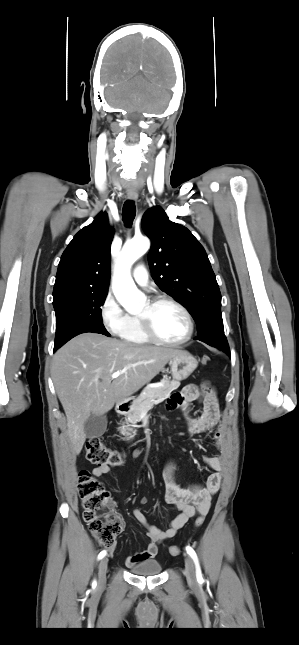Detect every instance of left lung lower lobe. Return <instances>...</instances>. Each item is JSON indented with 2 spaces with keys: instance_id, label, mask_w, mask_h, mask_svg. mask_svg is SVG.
<instances>
[{
  "instance_id": "obj_1",
  "label": "left lung lower lobe",
  "mask_w": 299,
  "mask_h": 645,
  "mask_svg": "<svg viewBox=\"0 0 299 645\" xmlns=\"http://www.w3.org/2000/svg\"><path fill=\"white\" fill-rule=\"evenodd\" d=\"M220 349H222V350H223V351H225L228 355H230V350H229L228 343L223 344V345L220 347Z\"/></svg>"
}]
</instances>
